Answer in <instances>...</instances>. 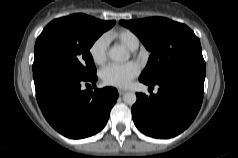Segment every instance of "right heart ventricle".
<instances>
[{"instance_id": "e07e8e85", "label": "right heart ventricle", "mask_w": 238, "mask_h": 158, "mask_svg": "<svg viewBox=\"0 0 238 158\" xmlns=\"http://www.w3.org/2000/svg\"><path fill=\"white\" fill-rule=\"evenodd\" d=\"M109 37L112 39H116L130 50L137 49L140 42L138 36L129 29L119 30L110 34Z\"/></svg>"}]
</instances>
